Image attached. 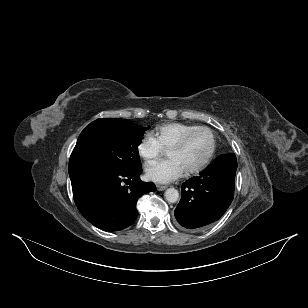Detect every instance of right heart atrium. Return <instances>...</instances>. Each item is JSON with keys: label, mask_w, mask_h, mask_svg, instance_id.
Wrapping results in <instances>:
<instances>
[{"label": "right heart atrium", "mask_w": 308, "mask_h": 308, "mask_svg": "<svg viewBox=\"0 0 308 308\" xmlns=\"http://www.w3.org/2000/svg\"><path fill=\"white\" fill-rule=\"evenodd\" d=\"M137 153L145 165L155 163L162 154V148L150 134L144 135L137 144Z\"/></svg>", "instance_id": "obj_1"}]
</instances>
